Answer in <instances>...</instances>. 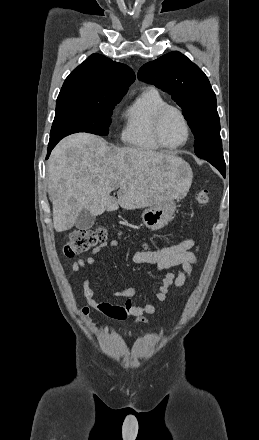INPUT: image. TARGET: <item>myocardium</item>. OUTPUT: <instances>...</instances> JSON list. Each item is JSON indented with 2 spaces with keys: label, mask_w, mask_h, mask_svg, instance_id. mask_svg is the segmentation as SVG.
I'll return each mask as SVG.
<instances>
[{
  "label": "myocardium",
  "mask_w": 259,
  "mask_h": 440,
  "mask_svg": "<svg viewBox=\"0 0 259 440\" xmlns=\"http://www.w3.org/2000/svg\"><path fill=\"white\" fill-rule=\"evenodd\" d=\"M169 111H174L179 115V117L181 118V120L184 124L185 130H186V137H185L184 141H182L181 143L174 145V146L167 145L164 142L162 135H161V125H162V122H163L165 115ZM153 134H154V138H155L156 142L163 149L176 150V149H179V148L185 146L187 144V142L189 141L190 136H191V127H190V124H189L187 117L185 116L184 112L179 107L174 106V105H170V104H166L157 112V114L155 116V120H154V124H153Z\"/></svg>",
  "instance_id": "obj_1"
}]
</instances>
